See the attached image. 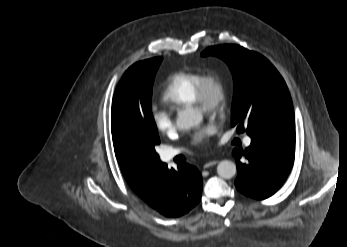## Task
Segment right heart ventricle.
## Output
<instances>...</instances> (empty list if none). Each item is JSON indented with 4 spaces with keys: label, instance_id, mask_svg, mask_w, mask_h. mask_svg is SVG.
Instances as JSON below:
<instances>
[{
    "label": "right heart ventricle",
    "instance_id": "e07e8e85",
    "mask_svg": "<svg viewBox=\"0 0 347 247\" xmlns=\"http://www.w3.org/2000/svg\"><path fill=\"white\" fill-rule=\"evenodd\" d=\"M201 76L197 71H179L170 75L162 89L161 99L176 108L193 104Z\"/></svg>",
    "mask_w": 347,
    "mask_h": 247
}]
</instances>
